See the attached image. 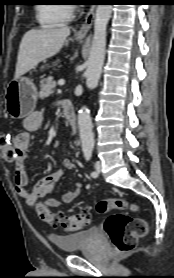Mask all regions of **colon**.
<instances>
[{"instance_id":"5ec220e1","label":"colon","mask_w":174,"mask_h":278,"mask_svg":"<svg viewBox=\"0 0 174 278\" xmlns=\"http://www.w3.org/2000/svg\"><path fill=\"white\" fill-rule=\"evenodd\" d=\"M0 153L7 162H13L15 151L10 143L9 135H0ZM96 209L99 213H108L112 210L124 211L130 209L137 211L138 206L124 198L103 199L97 203ZM39 217L48 223L56 224L66 232H74L88 226L91 222V214L80 211L73 215L59 213L53 215L45 206H37ZM104 228L112 245L118 252L132 250L139 237L147 233V222L142 218L133 217L126 213H115L110 215L104 224Z\"/></svg>"}]
</instances>
